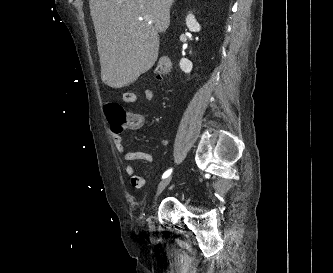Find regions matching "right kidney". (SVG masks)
<instances>
[{"instance_id": "1", "label": "right kidney", "mask_w": 333, "mask_h": 273, "mask_svg": "<svg viewBox=\"0 0 333 273\" xmlns=\"http://www.w3.org/2000/svg\"><path fill=\"white\" fill-rule=\"evenodd\" d=\"M186 26L192 32H199L201 28L194 15L192 14H189L186 17ZM179 65L181 70L185 73H190L193 67L192 62L186 58H182Z\"/></svg>"}]
</instances>
